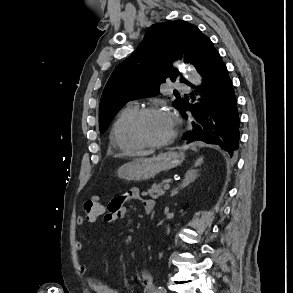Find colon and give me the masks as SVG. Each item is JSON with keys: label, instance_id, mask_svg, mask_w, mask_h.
<instances>
[{"label": "colon", "instance_id": "5ec220e1", "mask_svg": "<svg viewBox=\"0 0 293 293\" xmlns=\"http://www.w3.org/2000/svg\"><path fill=\"white\" fill-rule=\"evenodd\" d=\"M104 204L98 196L86 200L84 203V213L87 220L95 221L104 212Z\"/></svg>", "mask_w": 293, "mask_h": 293}]
</instances>
